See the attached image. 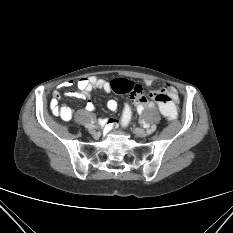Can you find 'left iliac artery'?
Listing matches in <instances>:
<instances>
[{"instance_id":"1","label":"left iliac artery","mask_w":233,"mask_h":233,"mask_svg":"<svg viewBox=\"0 0 233 233\" xmlns=\"http://www.w3.org/2000/svg\"><path fill=\"white\" fill-rule=\"evenodd\" d=\"M151 131H152V132H155V131H156V125H155V124H152V125H151V129H150L149 133H150Z\"/></svg>"}]
</instances>
